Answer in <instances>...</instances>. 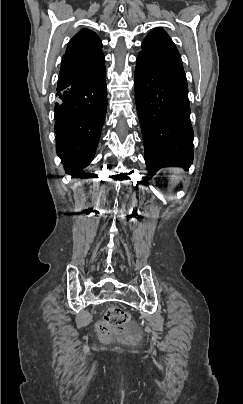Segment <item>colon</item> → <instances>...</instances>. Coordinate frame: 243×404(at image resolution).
<instances>
[{"label": "colon", "instance_id": "colon-1", "mask_svg": "<svg viewBox=\"0 0 243 404\" xmlns=\"http://www.w3.org/2000/svg\"><path fill=\"white\" fill-rule=\"evenodd\" d=\"M129 320V314L122 308L117 306L110 307L99 323L98 328L103 335H107L110 331V327H119L118 335L125 341H132L134 335L127 329L121 328Z\"/></svg>", "mask_w": 243, "mask_h": 404}]
</instances>
